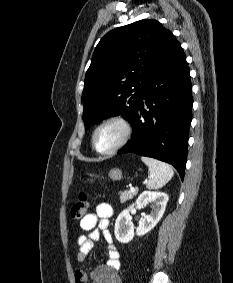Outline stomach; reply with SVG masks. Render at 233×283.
Masks as SVG:
<instances>
[{"label":"stomach","instance_id":"obj_1","mask_svg":"<svg viewBox=\"0 0 233 283\" xmlns=\"http://www.w3.org/2000/svg\"><path fill=\"white\" fill-rule=\"evenodd\" d=\"M109 177L112 180H115V181L121 180V178H122V171L120 169H118V168H113L109 172Z\"/></svg>","mask_w":233,"mask_h":283}]
</instances>
